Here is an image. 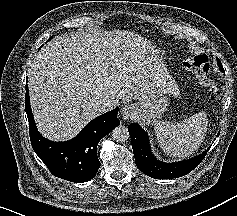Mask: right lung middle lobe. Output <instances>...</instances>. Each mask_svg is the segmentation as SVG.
Masks as SVG:
<instances>
[{"instance_id": "dd1d6c3e", "label": "right lung middle lobe", "mask_w": 237, "mask_h": 216, "mask_svg": "<svg viewBox=\"0 0 237 216\" xmlns=\"http://www.w3.org/2000/svg\"><path fill=\"white\" fill-rule=\"evenodd\" d=\"M51 38H52V37H50L46 42L50 41ZM42 46H43V45H42Z\"/></svg>"}]
</instances>
